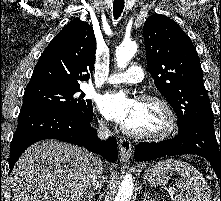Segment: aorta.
Wrapping results in <instances>:
<instances>
[{
    "instance_id": "1",
    "label": "aorta",
    "mask_w": 221,
    "mask_h": 201,
    "mask_svg": "<svg viewBox=\"0 0 221 201\" xmlns=\"http://www.w3.org/2000/svg\"><path fill=\"white\" fill-rule=\"evenodd\" d=\"M137 43L135 41L123 42L116 49V61L120 68H125L128 61H130L137 51ZM133 193V178L131 174H127L123 177V180L119 186L118 193L115 197V201H130Z\"/></svg>"
}]
</instances>
